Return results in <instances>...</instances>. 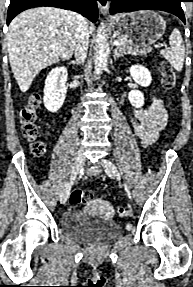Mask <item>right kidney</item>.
<instances>
[{
  "label": "right kidney",
  "instance_id": "ca27d5eb",
  "mask_svg": "<svg viewBox=\"0 0 193 287\" xmlns=\"http://www.w3.org/2000/svg\"><path fill=\"white\" fill-rule=\"evenodd\" d=\"M67 70L65 67L52 69L46 77L44 87V106L50 112H57L66 97Z\"/></svg>",
  "mask_w": 193,
  "mask_h": 287
}]
</instances>
